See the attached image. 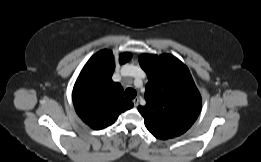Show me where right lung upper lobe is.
Returning a JSON list of instances; mask_svg holds the SVG:
<instances>
[{"label": "right lung upper lobe", "mask_w": 261, "mask_h": 162, "mask_svg": "<svg viewBox=\"0 0 261 162\" xmlns=\"http://www.w3.org/2000/svg\"><path fill=\"white\" fill-rule=\"evenodd\" d=\"M130 59V53H122L119 62L124 64ZM114 69L112 52L99 51L85 64L73 88L76 113L96 130L110 126L119 114L133 107L131 101L124 99L122 86L113 82Z\"/></svg>", "instance_id": "cb5924a9"}]
</instances>
